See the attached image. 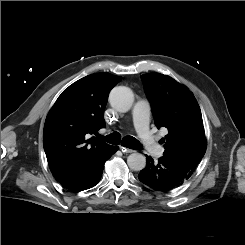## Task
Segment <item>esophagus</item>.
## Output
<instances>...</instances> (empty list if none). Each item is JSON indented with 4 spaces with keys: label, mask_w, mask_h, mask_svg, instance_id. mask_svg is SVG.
I'll use <instances>...</instances> for the list:
<instances>
[{
    "label": "esophagus",
    "mask_w": 245,
    "mask_h": 245,
    "mask_svg": "<svg viewBox=\"0 0 245 245\" xmlns=\"http://www.w3.org/2000/svg\"><path fill=\"white\" fill-rule=\"evenodd\" d=\"M119 148H120V150H121L123 153H132V152H134V150L129 149V148L124 147V146H120Z\"/></svg>",
    "instance_id": "34e87169"
}]
</instances>
